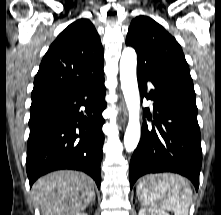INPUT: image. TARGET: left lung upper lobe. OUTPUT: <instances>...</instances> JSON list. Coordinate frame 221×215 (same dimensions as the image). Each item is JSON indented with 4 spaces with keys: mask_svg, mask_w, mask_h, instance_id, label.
Here are the masks:
<instances>
[{
    "mask_svg": "<svg viewBox=\"0 0 221 215\" xmlns=\"http://www.w3.org/2000/svg\"><path fill=\"white\" fill-rule=\"evenodd\" d=\"M126 45L136 50L137 72L177 83L194 92L181 46L156 21L143 15L133 19Z\"/></svg>",
    "mask_w": 221,
    "mask_h": 215,
    "instance_id": "5c2ea615",
    "label": "left lung upper lobe"
}]
</instances>
